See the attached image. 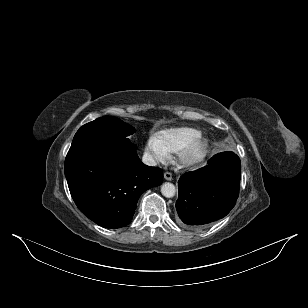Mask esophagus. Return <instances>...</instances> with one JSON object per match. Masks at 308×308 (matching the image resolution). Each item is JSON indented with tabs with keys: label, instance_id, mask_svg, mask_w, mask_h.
Segmentation results:
<instances>
[{
	"label": "esophagus",
	"instance_id": "esophagus-1",
	"mask_svg": "<svg viewBox=\"0 0 308 308\" xmlns=\"http://www.w3.org/2000/svg\"><path fill=\"white\" fill-rule=\"evenodd\" d=\"M164 179L167 181H171L172 180V174L170 172H165L164 173Z\"/></svg>",
	"mask_w": 308,
	"mask_h": 308
}]
</instances>
